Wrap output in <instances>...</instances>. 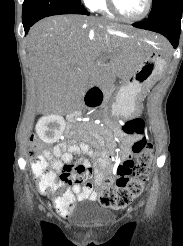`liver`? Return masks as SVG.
<instances>
[{"label": "liver", "instance_id": "1", "mask_svg": "<svg viewBox=\"0 0 183 246\" xmlns=\"http://www.w3.org/2000/svg\"><path fill=\"white\" fill-rule=\"evenodd\" d=\"M132 35L149 39L159 51L168 46L155 34L92 16L60 15L37 22L26 41L39 100L67 114L90 87L129 77L139 59L129 41Z\"/></svg>", "mask_w": 183, "mask_h": 246}]
</instances>
